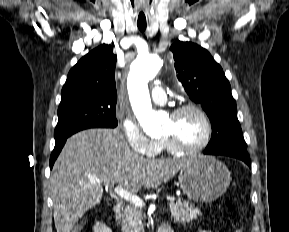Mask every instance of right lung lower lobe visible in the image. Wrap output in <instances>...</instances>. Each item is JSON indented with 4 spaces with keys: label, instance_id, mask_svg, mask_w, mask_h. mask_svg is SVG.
Returning <instances> with one entry per match:
<instances>
[{
    "label": "right lung lower lobe",
    "instance_id": "1",
    "mask_svg": "<svg viewBox=\"0 0 289 232\" xmlns=\"http://www.w3.org/2000/svg\"><path fill=\"white\" fill-rule=\"evenodd\" d=\"M66 140H67V138L56 141L54 150H53L51 157H50V168H52V166H53L57 156L59 155L60 151L62 150Z\"/></svg>",
    "mask_w": 289,
    "mask_h": 232
}]
</instances>
